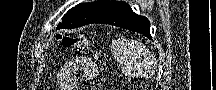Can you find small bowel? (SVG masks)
<instances>
[{"label":"small bowel","mask_w":216,"mask_h":90,"mask_svg":"<svg viewBox=\"0 0 216 90\" xmlns=\"http://www.w3.org/2000/svg\"><path fill=\"white\" fill-rule=\"evenodd\" d=\"M76 72H81L82 76L87 80H94L97 78L98 69L92 62L75 63L70 62L66 64L58 73L57 79L60 90H77Z\"/></svg>","instance_id":"1"}]
</instances>
